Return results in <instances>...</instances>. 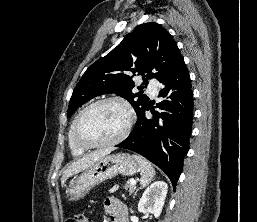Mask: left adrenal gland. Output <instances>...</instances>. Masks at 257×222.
<instances>
[{"instance_id":"a2214340","label":"left adrenal gland","mask_w":257,"mask_h":222,"mask_svg":"<svg viewBox=\"0 0 257 222\" xmlns=\"http://www.w3.org/2000/svg\"><path fill=\"white\" fill-rule=\"evenodd\" d=\"M137 191H138V189L136 190V192H135V194H134V195H136Z\"/></svg>"}]
</instances>
